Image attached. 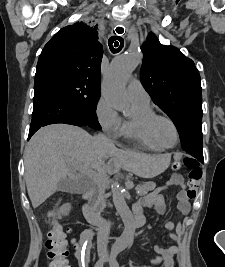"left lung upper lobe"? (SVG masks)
I'll use <instances>...</instances> for the list:
<instances>
[{
  "label": "left lung upper lobe",
  "mask_w": 225,
  "mask_h": 267,
  "mask_svg": "<svg viewBox=\"0 0 225 267\" xmlns=\"http://www.w3.org/2000/svg\"><path fill=\"white\" fill-rule=\"evenodd\" d=\"M141 82L175 124L182 148L194 156L202 152V88L194 62L177 48L160 44L150 33L142 46Z\"/></svg>",
  "instance_id": "1"
}]
</instances>
